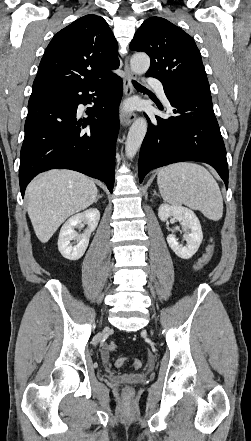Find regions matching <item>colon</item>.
Segmentation results:
<instances>
[{"mask_svg":"<svg viewBox=\"0 0 251 441\" xmlns=\"http://www.w3.org/2000/svg\"><path fill=\"white\" fill-rule=\"evenodd\" d=\"M214 251H215V245H214V243L212 242V243H210L208 246H207V248H206V251L204 252V254L199 258V260L197 261V263L195 264V270H200V269H202L203 267H205L209 262H210V260L212 259V257H213V255H214ZM117 349V344L115 343V342H111V343H109L108 344V350L109 351H115ZM127 363V359L126 358H118L116 361H115V365L117 366V367H122V366H124L125 364ZM132 366L135 368V369H138V368H140L141 366H142V361L141 360H139V359H134L133 361H132Z\"/></svg>","mask_w":251,"mask_h":441,"instance_id":"1","label":"colon"}]
</instances>
